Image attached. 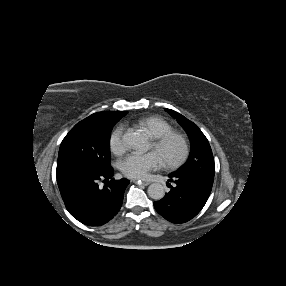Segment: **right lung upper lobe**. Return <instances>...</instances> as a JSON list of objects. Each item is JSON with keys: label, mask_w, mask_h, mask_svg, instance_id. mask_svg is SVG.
<instances>
[{"label": "right lung upper lobe", "mask_w": 286, "mask_h": 286, "mask_svg": "<svg viewBox=\"0 0 286 286\" xmlns=\"http://www.w3.org/2000/svg\"><path fill=\"white\" fill-rule=\"evenodd\" d=\"M124 113V111H103V112H98L90 115L86 119L82 120L81 122L88 121V120H99L108 116L116 115V114H121ZM79 122V123H81Z\"/></svg>", "instance_id": "right-lung-upper-lobe-1"}]
</instances>
